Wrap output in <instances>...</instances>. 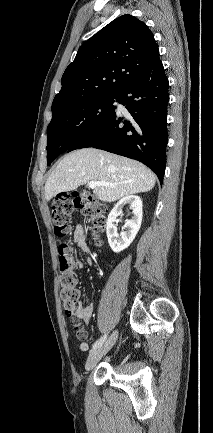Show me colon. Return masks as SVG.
Listing matches in <instances>:
<instances>
[{
	"label": "colon",
	"instance_id": "1",
	"mask_svg": "<svg viewBox=\"0 0 213 433\" xmlns=\"http://www.w3.org/2000/svg\"><path fill=\"white\" fill-rule=\"evenodd\" d=\"M79 209L88 220L94 232H101L106 225V207L94 196L81 193H73L72 197L62 196L53 206L52 224L57 236L66 235L71 229L72 213ZM73 251L69 244L59 246L60 267V298L63 308L68 316H73L78 307L79 291L76 289V276L73 271ZM76 335L81 338L83 327L77 320L72 321Z\"/></svg>",
	"mask_w": 213,
	"mask_h": 433
}]
</instances>
